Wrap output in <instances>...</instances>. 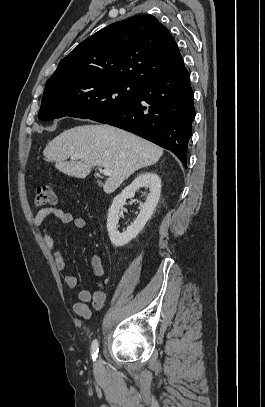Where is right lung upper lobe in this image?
<instances>
[{"instance_id": "obj_1", "label": "right lung upper lobe", "mask_w": 265, "mask_h": 407, "mask_svg": "<svg viewBox=\"0 0 265 407\" xmlns=\"http://www.w3.org/2000/svg\"><path fill=\"white\" fill-rule=\"evenodd\" d=\"M180 56L174 38L157 18L138 15L81 42L60 61L48 82L102 78L143 85L171 70Z\"/></svg>"}]
</instances>
